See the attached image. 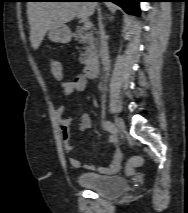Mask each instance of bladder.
<instances>
[{
    "mask_svg": "<svg viewBox=\"0 0 188 213\" xmlns=\"http://www.w3.org/2000/svg\"><path fill=\"white\" fill-rule=\"evenodd\" d=\"M76 182L79 186L94 191L106 198H114L127 189V180L121 176H107L94 172L80 174Z\"/></svg>",
    "mask_w": 188,
    "mask_h": 213,
    "instance_id": "31cf9c89",
    "label": "bladder"
}]
</instances>
